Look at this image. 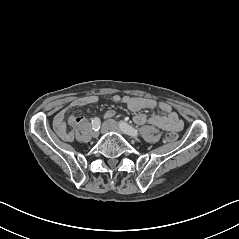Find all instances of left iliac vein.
Instances as JSON below:
<instances>
[{
  "label": "left iliac vein",
  "instance_id": "1",
  "mask_svg": "<svg viewBox=\"0 0 239 239\" xmlns=\"http://www.w3.org/2000/svg\"><path fill=\"white\" fill-rule=\"evenodd\" d=\"M106 123H107L108 126H109V130L122 133V130H121V128H120V125H119L115 120L110 119V120L106 121Z\"/></svg>",
  "mask_w": 239,
  "mask_h": 239
}]
</instances>
